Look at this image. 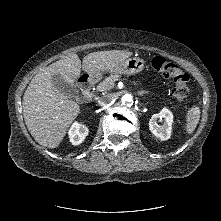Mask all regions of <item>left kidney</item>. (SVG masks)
I'll return each instance as SVG.
<instances>
[{
	"label": "left kidney",
	"mask_w": 221,
	"mask_h": 221,
	"mask_svg": "<svg viewBox=\"0 0 221 221\" xmlns=\"http://www.w3.org/2000/svg\"><path fill=\"white\" fill-rule=\"evenodd\" d=\"M165 120L162 126H159L157 120ZM173 114L167 109L163 108L160 113L154 114L149 121L150 131L159 139L165 141L168 140L172 132Z\"/></svg>",
	"instance_id": "left-kidney-1"
}]
</instances>
